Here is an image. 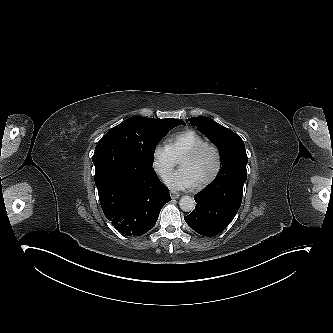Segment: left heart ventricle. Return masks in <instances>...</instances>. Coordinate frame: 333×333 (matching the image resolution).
<instances>
[{"mask_svg":"<svg viewBox=\"0 0 333 333\" xmlns=\"http://www.w3.org/2000/svg\"><path fill=\"white\" fill-rule=\"evenodd\" d=\"M214 154L209 149H204L195 159L186 162L183 168L187 170L194 182L207 177L214 166Z\"/></svg>","mask_w":333,"mask_h":333,"instance_id":"1","label":"left heart ventricle"}]
</instances>
